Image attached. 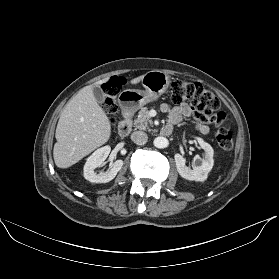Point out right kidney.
<instances>
[{
    "mask_svg": "<svg viewBox=\"0 0 279 279\" xmlns=\"http://www.w3.org/2000/svg\"><path fill=\"white\" fill-rule=\"evenodd\" d=\"M111 147L104 146L97 149L91 156L87 158L84 165V178L92 183H107L115 178L117 173L123 166L122 160H116L106 172H100L97 174L94 170L98 167H102L104 161L110 154Z\"/></svg>",
    "mask_w": 279,
    "mask_h": 279,
    "instance_id": "right-kidney-1",
    "label": "right kidney"
}]
</instances>
